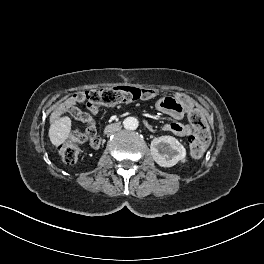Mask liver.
<instances>
[{
    "mask_svg": "<svg viewBox=\"0 0 264 264\" xmlns=\"http://www.w3.org/2000/svg\"><path fill=\"white\" fill-rule=\"evenodd\" d=\"M71 130V120L69 117L57 118L51 121L49 128V138L54 146L62 144L69 136Z\"/></svg>",
    "mask_w": 264,
    "mask_h": 264,
    "instance_id": "6515ba94",
    "label": "liver"
}]
</instances>
